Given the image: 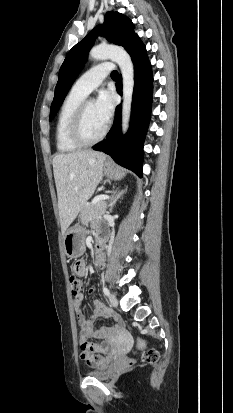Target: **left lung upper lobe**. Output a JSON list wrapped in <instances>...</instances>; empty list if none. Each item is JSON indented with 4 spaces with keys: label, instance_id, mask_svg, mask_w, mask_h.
<instances>
[{
    "label": "left lung upper lobe",
    "instance_id": "5c2ea615",
    "mask_svg": "<svg viewBox=\"0 0 233 413\" xmlns=\"http://www.w3.org/2000/svg\"><path fill=\"white\" fill-rule=\"evenodd\" d=\"M133 29V23L125 15L113 11L107 12L103 25L91 31L69 51L59 71L55 95L50 109V121L56 115L74 80L83 68L87 59V52L94 44L96 36L103 35L110 42L123 46L129 52L141 43Z\"/></svg>",
    "mask_w": 233,
    "mask_h": 413
}]
</instances>
